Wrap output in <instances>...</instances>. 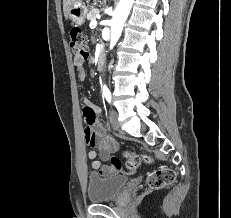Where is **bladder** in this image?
I'll return each instance as SVG.
<instances>
[{
    "instance_id": "bladder-1",
    "label": "bladder",
    "mask_w": 231,
    "mask_h": 218,
    "mask_svg": "<svg viewBox=\"0 0 231 218\" xmlns=\"http://www.w3.org/2000/svg\"><path fill=\"white\" fill-rule=\"evenodd\" d=\"M128 183L125 176H99L91 174L88 179V199L92 203L112 200L123 191Z\"/></svg>"
}]
</instances>
